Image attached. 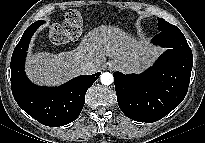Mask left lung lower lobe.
<instances>
[{
    "label": "left lung lower lobe",
    "mask_w": 205,
    "mask_h": 143,
    "mask_svg": "<svg viewBox=\"0 0 205 143\" xmlns=\"http://www.w3.org/2000/svg\"><path fill=\"white\" fill-rule=\"evenodd\" d=\"M152 42L168 48L152 67L139 75L113 74L121 111L146 123L160 120L182 102L193 66L192 51L179 28L160 31Z\"/></svg>",
    "instance_id": "0a47b994"
}]
</instances>
